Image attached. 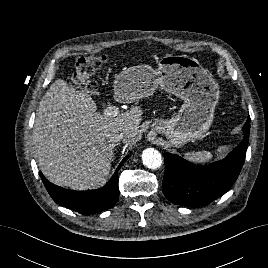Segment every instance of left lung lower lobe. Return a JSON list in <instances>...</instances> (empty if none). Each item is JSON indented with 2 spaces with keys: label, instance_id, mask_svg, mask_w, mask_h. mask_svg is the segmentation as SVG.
Segmentation results:
<instances>
[{
  "label": "left lung lower lobe",
  "instance_id": "1",
  "mask_svg": "<svg viewBox=\"0 0 268 268\" xmlns=\"http://www.w3.org/2000/svg\"><path fill=\"white\" fill-rule=\"evenodd\" d=\"M243 141L223 160L210 165L192 164L180 156L165 153L162 191L174 204L201 206L225 194L238 178L245 161L250 116L242 128Z\"/></svg>",
  "mask_w": 268,
  "mask_h": 268
}]
</instances>
